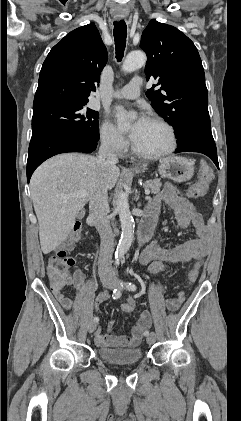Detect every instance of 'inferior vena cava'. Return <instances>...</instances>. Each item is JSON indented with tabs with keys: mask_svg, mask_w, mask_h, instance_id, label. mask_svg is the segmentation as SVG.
<instances>
[{
	"mask_svg": "<svg viewBox=\"0 0 241 421\" xmlns=\"http://www.w3.org/2000/svg\"><path fill=\"white\" fill-rule=\"evenodd\" d=\"M98 163L102 168L115 166L118 162L116 154L106 141L101 143L98 151ZM109 212L107 190H99L89 202V217L93 220L101 237L98 271L101 278L113 277L112 254L114 251V236L107 217Z\"/></svg>",
	"mask_w": 241,
	"mask_h": 421,
	"instance_id": "602c4592",
	"label": "inferior vena cava"
}]
</instances>
